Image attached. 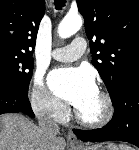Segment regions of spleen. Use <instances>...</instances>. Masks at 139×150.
<instances>
[{
	"label": "spleen",
	"instance_id": "1",
	"mask_svg": "<svg viewBox=\"0 0 139 150\" xmlns=\"http://www.w3.org/2000/svg\"><path fill=\"white\" fill-rule=\"evenodd\" d=\"M120 150H131V149L128 148V147H126V146L121 145V146H120Z\"/></svg>",
	"mask_w": 139,
	"mask_h": 150
}]
</instances>
